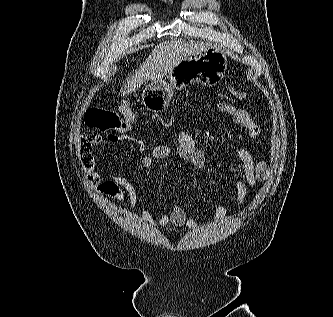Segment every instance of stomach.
<instances>
[{
  "label": "stomach",
  "mask_w": 333,
  "mask_h": 317,
  "mask_svg": "<svg viewBox=\"0 0 333 317\" xmlns=\"http://www.w3.org/2000/svg\"><path fill=\"white\" fill-rule=\"evenodd\" d=\"M227 69V57L216 47L204 45L196 56L181 61L169 71L170 82L153 80L142 93V103L152 112H162L168 106L173 89H183L186 81H197L202 85L216 84Z\"/></svg>",
  "instance_id": "stomach-1"
}]
</instances>
